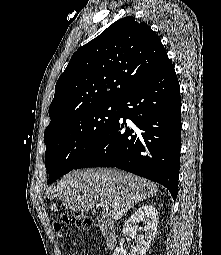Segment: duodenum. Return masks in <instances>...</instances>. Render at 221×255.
Listing matches in <instances>:
<instances>
[{"label": "duodenum", "instance_id": "duodenum-1", "mask_svg": "<svg viewBox=\"0 0 221 255\" xmlns=\"http://www.w3.org/2000/svg\"><path fill=\"white\" fill-rule=\"evenodd\" d=\"M99 227L107 247H115L116 228L114 223L109 218H102L99 220Z\"/></svg>", "mask_w": 221, "mask_h": 255}]
</instances>
